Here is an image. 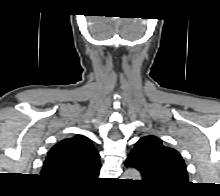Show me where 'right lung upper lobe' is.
Returning a JSON list of instances; mask_svg holds the SVG:
<instances>
[{
	"label": "right lung upper lobe",
	"instance_id": "cb5924a9",
	"mask_svg": "<svg viewBox=\"0 0 220 196\" xmlns=\"http://www.w3.org/2000/svg\"><path fill=\"white\" fill-rule=\"evenodd\" d=\"M99 157L91 140L78 134L51 148L43 164L41 176L54 183L83 185L99 175Z\"/></svg>",
	"mask_w": 220,
	"mask_h": 196
}]
</instances>
